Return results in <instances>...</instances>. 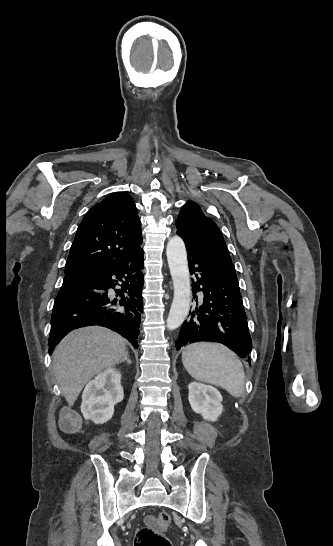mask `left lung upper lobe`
<instances>
[{
  "label": "left lung upper lobe",
  "instance_id": "left-lung-upper-lobe-1",
  "mask_svg": "<svg viewBox=\"0 0 333 546\" xmlns=\"http://www.w3.org/2000/svg\"><path fill=\"white\" fill-rule=\"evenodd\" d=\"M177 232L200 251L231 261L228 248L218 226L206 217L194 202H187L176 219Z\"/></svg>",
  "mask_w": 333,
  "mask_h": 546
}]
</instances>
